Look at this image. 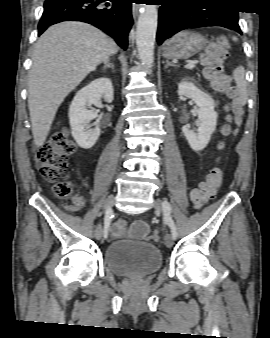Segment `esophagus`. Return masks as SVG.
<instances>
[{
    "mask_svg": "<svg viewBox=\"0 0 270 338\" xmlns=\"http://www.w3.org/2000/svg\"><path fill=\"white\" fill-rule=\"evenodd\" d=\"M139 11H140V5L137 3H132V13H133L134 19L137 18Z\"/></svg>",
    "mask_w": 270,
    "mask_h": 338,
    "instance_id": "34e87169",
    "label": "esophagus"
}]
</instances>
